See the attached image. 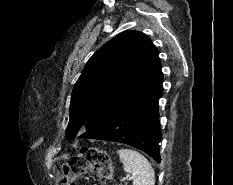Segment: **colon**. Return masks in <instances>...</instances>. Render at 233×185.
<instances>
[{"mask_svg":"<svg viewBox=\"0 0 233 185\" xmlns=\"http://www.w3.org/2000/svg\"><path fill=\"white\" fill-rule=\"evenodd\" d=\"M63 185H72L74 181L87 173H94L99 179L108 181L113 174L108 154L97 147H83L79 154L62 166Z\"/></svg>","mask_w":233,"mask_h":185,"instance_id":"obj_1","label":"colon"}]
</instances>
